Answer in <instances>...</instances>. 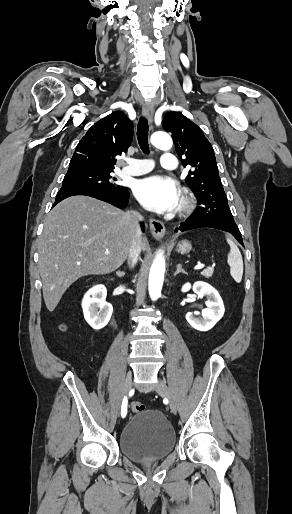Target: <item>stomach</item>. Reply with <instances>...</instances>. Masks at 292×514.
<instances>
[{"mask_svg":"<svg viewBox=\"0 0 292 514\" xmlns=\"http://www.w3.org/2000/svg\"><path fill=\"white\" fill-rule=\"evenodd\" d=\"M190 250H192V246L187 240H184V242L177 246V252H180V254H189Z\"/></svg>","mask_w":292,"mask_h":514,"instance_id":"0dacf381","label":"stomach"}]
</instances>
